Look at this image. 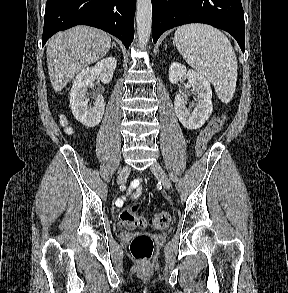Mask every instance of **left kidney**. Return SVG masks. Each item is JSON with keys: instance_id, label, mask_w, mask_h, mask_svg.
Segmentation results:
<instances>
[{"instance_id": "5707ae66", "label": "left kidney", "mask_w": 288, "mask_h": 293, "mask_svg": "<svg viewBox=\"0 0 288 293\" xmlns=\"http://www.w3.org/2000/svg\"><path fill=\"white\" fill-rule=\"evenodd\" d=\"M186 77L192 87V91L197 94L198 104L193 112L186 107L183 94L179 91L174 100V109L181 124L191 130L201 128L210 117L212 106V90L207 79L196 71L188 70L181 63L173 62L169 67V80L172 84Z\"/></svg>"}]
</instances>
